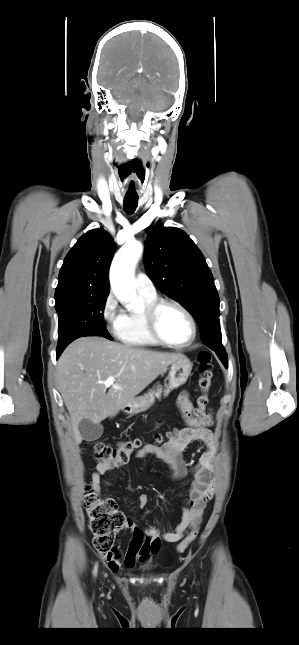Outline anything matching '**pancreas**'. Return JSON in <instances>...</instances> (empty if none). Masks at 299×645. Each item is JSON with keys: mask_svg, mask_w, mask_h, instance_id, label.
<instances>
[{"mask_svg": "<svg viewBox=\"0 0 299 645\" xmlns=\"http://www.w3.org/2000/svg\"><path fill=\"white\" fill-rule=\"evenodd\" d=\"M161 392H162V389L159 387V388L157 389V393H156V396H157L158 398L160 397ZM168 393H169V390H166L164 395L166 396V395H168Z\"/></svg>", "mask_w": 299, "mask_h": 645, "instance_id": "pancreas-1", "label": "pancreas"}]
</instances>
